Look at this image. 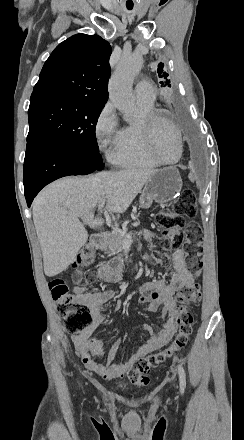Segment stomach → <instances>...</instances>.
Listing matches in <instances>:
<instances>
[{
    "label": "stomach",
    "instance_id": "0dacf381",
    "mask_svg": "<svg viewBox=\"0 0 244 440\" xmlns=\"http://www.w3.org/2000/svg\"><path fill=\"white\" fill-rule=\"evenodd\" d=\"M182 190V178L175 166L157 170L148 178L140 196L141 208H150L152 202L164 204L179 196Z\"/></svg>",
    "mask_w": 244,
    "mask_h": 440
}]
</instances>
